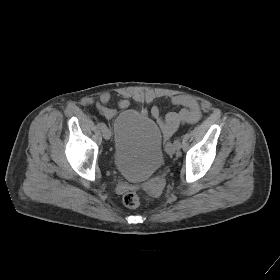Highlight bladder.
Returning a JSON list of instances; mask_svg holds the SVG:
<instances>
[{"mask_svg": "<svg viewBox=\"0 0 280 280\" xmlns=\"http://www.w3.org/2000/svg\"><path fill=\"white\" fill-rule=\"evenodd\" d=\"M112 158L125 177L144 180L163 164V136L156 120L132 109L122 111L113 124Z\"/></svg>", "mask_w": 280, "mask_h": 280, "instance_id": "bladder-1", "label": "bladder"}]
</instances>
